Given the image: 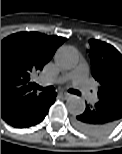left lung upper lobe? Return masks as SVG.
Returning a JSON list of instances; mask_svg holds the SVG:
<instances>
[{
  "label": "left lung upper lobe",
  "mask_w": 122,
  "mask_h": 154,
  "mask_svg": "<svg viewBox=\"0 0 122 154\" xmlns=\"http://www.w3.org/2000/svg\"><path fill=\"white\" fill-rule=\"evenodd\" d=\"M92 76L100 83L98 97L122 95V55L105 42L90 39Z\"/></svg>",
  "instance_id": "1"
}]
</instances>
